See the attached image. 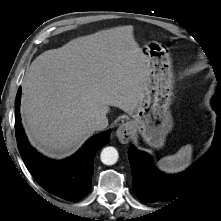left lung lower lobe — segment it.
Masks as SVG:
<instances>
[{
	"label": "left lung lower lobe",
	"instance_id": "0a47b994",
	"mask_svg": "<svg viewBox=\"0 0 221 221\" xmlns=\"http://www.w3.org/2000/svg\"><path fill=\"white\" fill-rule=\"evenodd\" d=\"M213 108L217 113V122L212 148L195 165L180 174L166 175L152 166L148 154L134 147L129 149L133 192L140 200L155 202L159 199L178 196L201 178L215 147L218 144L221 145V103L216 100Z\"/></svg>",
	"mask_w": 221,
	"mask_h": 221
}]
</instances>
